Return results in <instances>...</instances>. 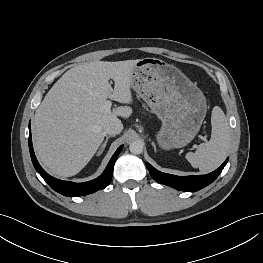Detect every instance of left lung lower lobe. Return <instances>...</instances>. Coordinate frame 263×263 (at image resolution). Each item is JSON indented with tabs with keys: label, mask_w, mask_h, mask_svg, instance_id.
<instances>
[{
	"label": "left lung lower lobe",
	"mask_w": 263,
	"mask_h": 263,
	"mask_svg": "<svg viewBox=\"0 0 263 263\" xmlns=\"http://www.w3.org/2000/svg\"><path fill=\"white\" fill-rule=\"evenodd\" d=\"M227 162L228 158L218 169L209 174L191 175L186 177L160 172L149 163H146V166L152 178L157 182L173 187L180 191L195 192L211 184L219 176Z\"/></svg>",
	"instance_id": "left-lung-lower-lobe-1"
}]
</instances>
